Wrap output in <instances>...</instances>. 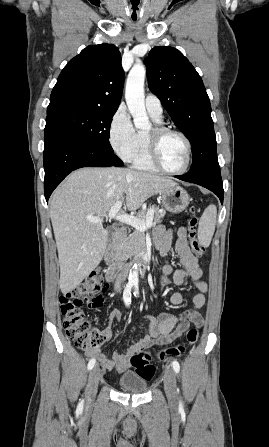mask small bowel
Returning <instances> with one entry per match:
<instances>
[{
  "label": "small bowel",
  "instance_id": "small-bowel-1",
  "mask_svg": "<svg viewBox=\"0 0 269 447\" xmlns=\"http://www.w3.org/2000/svg\"><path fill=\"white\" fill-rule=\"evenodd\" d=\"M175 249L180 259L181 267L173 269L170 265H165L162 268L161 285L165 286L169 283L168 276H172L171 281L178 286H185L192 284L198 289V293L193 296L192 302L194 308L188 309L185 312L174 315L170 313H162L157 317L150 315H143L144 319L149 320L147 325L148 333L140 336L134 340L132 345L127 349L126 353H112L110 357L97 351L89 352V355L96 357L99 362L107 369L115 368L119 372H123L129 368L131 355L147 346L166 345L176 340L181 333L189 328L190 323L196 326H201L203 323L202 316L199 310L205 304V292L207 285L201 280L202 269L199 265L198 259L191 252L187 240L186 231L183 227H179L174 231ZM172 238V232L167 230L164 226H158L153 233L154 243L161 254L167 253ZM184 297L181 292H174L170 296V303L172 305H181ZM121 318V313L117 309H113L109 313L108 323L100 332L104 341L111 339L113 334V325ZM177 329L174 330V327ZM133 333H137L136 328H132Z\"/></svg>",
  "mask_w": 269,
  "mask_h": 447
}]
</instances>
